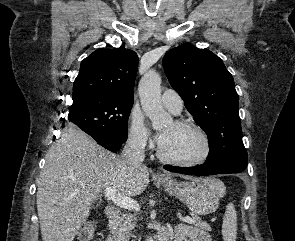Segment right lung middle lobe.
I'll list each match as a JSON object with an SVG mask.
<instances>
[{
    "label": "right lung middle lobe",
    "instance_id": "right-lung-middle-lobe-1",
    "mask_svg": "<svg viewBox=\"0 0 295 241\" xmlns=\"http://www.w3.org/2000/svg\"><path fill=\"white\" fill-rule=\"evenodd\" d=\"M132 105L133 101L118 98H84L69 107L68 119L90 136L124 143Z\"/></svg>",
    "mask_w": 295,
    "mask_h": 241
}]
</instances>
